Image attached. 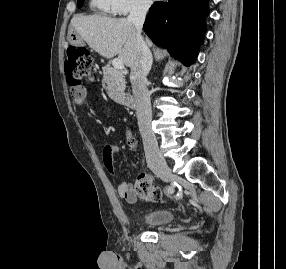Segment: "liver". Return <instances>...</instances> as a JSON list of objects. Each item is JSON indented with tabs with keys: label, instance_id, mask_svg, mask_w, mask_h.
Listing matches in <instances>:
<instances>
[{
	"label": "liver",
	"instance_id": "1",
	"mask_svg": "<svg viewBox=\"0 0 286 269\" xmlns=\"http://www.w3.org/2000/svg\"><path fill=\"white\" fill-rule=\"evenodd\" d=\"M70 26L101 56L110 59L118 55V59L130 68L138 61L137 32L126 18L74 16ZM146 44L151 46L152 42L146 39Z\"/></svg>",
	"mask_w": 286,
	"mask_h": 269
}]
</instances>
